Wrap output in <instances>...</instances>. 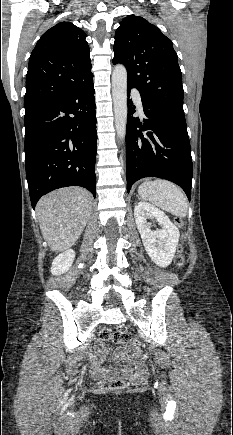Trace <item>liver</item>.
Returning <instances> with one entry per match:
<instances>
[{
	"label": "liver",
	"mask_w": 233,
	"mask_h": 435,
	"mask_svg": "<svg viewBox=\"0 0 233 435\" xmlns=\"http://www.w3.org/2000/svg\"><path fill=\"white\" fill-rule=\"evenodd\" d=\"M92 195L81 187H66L43 196L36 213L43 238L54 252L72 247L91 215Z\"/></svg>",
	"instance_id": "1"
}]
</instances>
